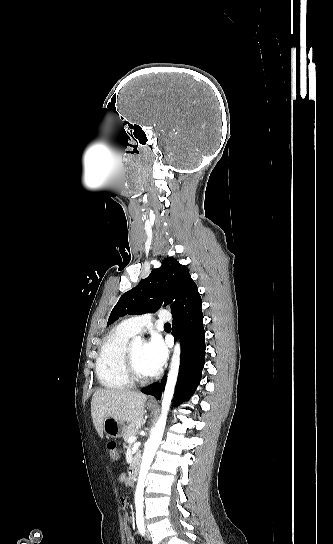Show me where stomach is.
Here are the masks:
<instances>
[{
  "label": "stomach",
  "mask_w": 333,
  "mask_h": 544,
  "mask_svg": "<svg viewBox=\"0 0 333 544\" xmlns=\"http://www.w3.org/2000/svg\"><path fill=\"white\" fill-rule=\"evenodd\" d=\"M152 409V407H150ZM125 425L123 422L115 420L111 417L105 418L103 421V431L107 437L119 438L124 432Z\"/></svg>",
  "instance_id": "stomach-1"
}]
</instances>
